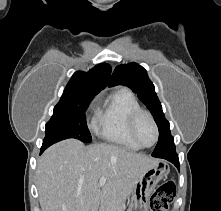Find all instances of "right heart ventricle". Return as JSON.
<instances>
[{"instance_id": "right-heart-ventricle-1", "label": "right heart ventricle", "mask_w": 221, "mask_h": 211, "mask_svg": "<svg viewBox=\"0 0 221 211\" xmlns=\"http://www.w3.org/2000/svg\"><path fill=\"white\" fill-rule=\"evenodd\" d=\"M134 93L120 87L112 91L102 103L96 118L97 134L105 141L130 150H140L128 130L130 114L140 109Z\"/></svg>"}]
</instances>
